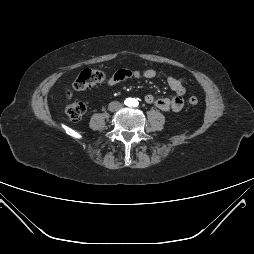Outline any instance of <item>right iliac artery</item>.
<instances>
[{
    "mask_svg": "<svg viewBox=\"0 0 254 254\" xmlns=\"http://www.w3.org/2000/svg\"><path fill=\"white\" fill-rule=\"evenodd\" d=\"M125 104H126L127 106H130L131 100L128 98L127 100H125Z\"/></svg>",
    "mask_w": 254,
    "mask_h": 254,
    "instance_id": "1",
    "label": "right iliac artery"
}]
</instances>
